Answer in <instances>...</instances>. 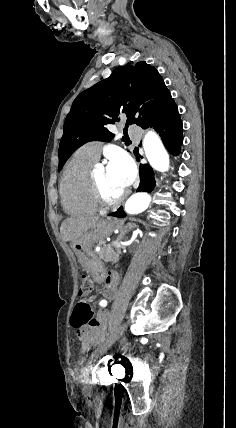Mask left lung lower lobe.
I'll list each match as a JSON object with an SVG mask.
<instances>
[{"instance_id": "obj_1", "label": "left lung lower lobe", "mask_w": 236, "mask_h": 428, "mask_svg": "<svg viewBox=\"0 0 236 428\" xmlns=\"http://www.w3.org/2000/svg\"><path fill=\"white\" fill-rule=\"evenodd\" d=\"M155 127L160 134L161 139L172 155H178L183 142V128L180 114L176 103L171 101L161 112L158 113L150 122L142 128ZM140 185L137 192H151L155 187L154 172L149 165H140ZM126 214L120 207L116 212L110 213L109 216L124 217Z\"/></svg>"}]
</instances>
